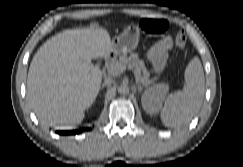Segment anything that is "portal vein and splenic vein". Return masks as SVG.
I'll use <instances>...</instances> for the list:
<instances>
[{
    "label": "portal vein and splenic vein",
    "mask_w": 243,
    "mask_h": 167,
    "mask_svg": "<svg viewBox=\"0 0 243 167\" xmlns=\"http://www.w3.org/2000/svg\"><path fill=\"white\" fill-rule=\"evenodd\" d=\"M125 69L126 68L123 66L116 65V66L110 67V69L108 71L111 75H119V74L123 73L125 71ZM136 79H137V81L141 82V80L139 78H136Z\"/></svg>",
    "instance_id": "1"
}]
</instances>
